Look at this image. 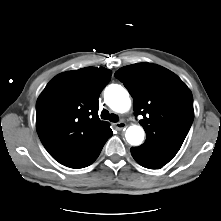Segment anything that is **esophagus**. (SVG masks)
Instances as JSON below:
<instances>
[{"label": "esophagus", "mask_w": 221, "mask_h": 221, "mask_svg": "<svg viewBox=\"0 0 221 221\" xmlns=\"http://www.w3.org/2000/svg\"><path fill=\"white\" fill-rule=\"evenodd\" d=\"M127 127L125 122L114 123V128L118 131L123 130Z\"/></svg>", "instance_id": "34e87169"}]
</instances>
